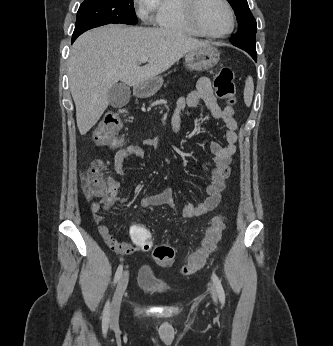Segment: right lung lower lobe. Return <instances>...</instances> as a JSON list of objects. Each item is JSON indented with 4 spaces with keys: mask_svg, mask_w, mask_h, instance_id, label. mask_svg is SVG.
Masks as SVG:
<instances>
[{
    "mask_svg": "<svg viewBox=\"0 0 333 346\" xmlns=\"http://www.w3.org/2000/svg\"><path fill=\"white\" fill-rule=\"evenodd\" d=\"M76 38H72V43L75 41Z\"/></svg>",
    "mask_w": 333,
    "mask_h": 346,
    "instance_id": "98d812e1",
    "label": "right lung lower lobe"
}]
</instances>
